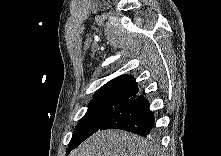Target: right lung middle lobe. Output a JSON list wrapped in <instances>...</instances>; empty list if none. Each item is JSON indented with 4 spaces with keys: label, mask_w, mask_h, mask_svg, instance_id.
Returning <instances> with one entry per match:
<instances>
[{
    "label": "right lung middle lobe",
    "mask_w": 221,
    "mask_h": 156,
    "mask_svg": "<svg viewBox=\"0 0 221 156\" xmlns=\"http://www.w3.org/2000/svg\"><path fill=\"white\" fill-rule=\"evenodd\" d=\"M120 99L95 98L89 103L85 116L76 126L66 153L76 148L82 141L99 130L101 125L112 113V111L121 103Z\"/></svg>",
    "instance_id": "1"
}]
</instances>
